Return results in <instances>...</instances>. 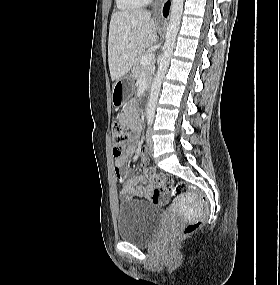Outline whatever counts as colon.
<instances>
[{
	"instance_id": "obj_1",
	"label": "colon",
	"mask_w": 280,
	"mask_h": 285,
	"mask_svg": "<svg viewBox=\"0 0 280 285\" xmlns=\"http://www.w3.org/2000/svg\"><path fill=\"white\" fill-rule=\"evenodd\" d=\"M111 135L114 146V155L119 156L121 150L128 142V129L119 122H114L111 126ZM145 176L154 185L158 192H164L171 196L184 192H192L204 210L203 215L206 214L209 207L208 198L195 185L188 183L173 184L171 180L161 174H157L152 168H147L145 170ZM201 224L202 218L186 224L177 238L182 239L190 236L201 226Z\"/></svg>"
}]
</instances>
